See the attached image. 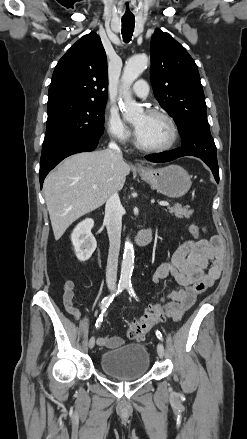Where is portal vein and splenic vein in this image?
Masks as SVG:
<instances>
[{"instance_id": "portal-vein-and-splenic-vein-1", "label": "portal vein and splenic vein", "mask_w": 247, "mask_h": 439, "mask_svg": "<svg viewBox=\"0 0 247 439\" xmlns=\"http://www.w3.org/2000/svg\"><path fill=\"white\" fill-rule=\"evenodd\" d=\"M96 188H97V186L93 185V189H96ZM159 205L160 206H169V203L167 201H160Z\"/></svg>"}]
</instances>
